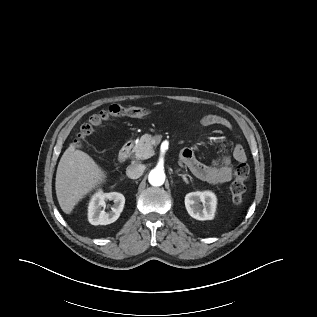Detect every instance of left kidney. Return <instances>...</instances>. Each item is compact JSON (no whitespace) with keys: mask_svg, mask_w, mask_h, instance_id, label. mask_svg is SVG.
I'll use <instances>...</instances> for the list:
<instances>
[{"mask_svg":"<svg viewBox=\"0 0 317 317\" xmlns=\"http://www.w3.org/2000/svg\"><path fill=\"white\" fill-rule=\"evenodd\" d=\"M216 196L211 191L191 192L185 196L188 214L196 220H212L216 211Z\"/></svg>","mask_w":317,"mask_h":317,"instance_id":"obj_1","label":"left kidney"}]
</instances>
